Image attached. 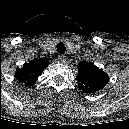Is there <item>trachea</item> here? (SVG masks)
I'll return each instance as SVG.
<instances>
[{"instance_id":"3493384b","label":"trachea","mask_w":129,"mask_h":129,"mask_svg":"<svg viewBox=\"0 0 129 129\" xmlns=\"http://www.w3.org/2000/svg\"><path fill=\"white\" fill-rule=\"evenodd\" d=\"M57 51H58V53H60V54H64V53H65L66 48H65V45H64L63 42H59V43L57 44Z\"/></svg>"}]
</instances>
